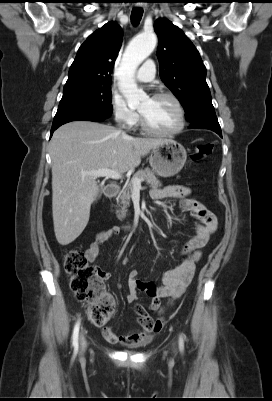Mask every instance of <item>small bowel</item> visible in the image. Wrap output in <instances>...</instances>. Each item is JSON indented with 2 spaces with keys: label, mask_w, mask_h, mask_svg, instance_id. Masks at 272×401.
<instances>
[{
  "label": "small bowel",
  "mask_w": 272,
  "mask_h": 401,
  "mask_svg": "<svg viewBox=\"0 0 272 401\" xmlns=\"http://www.w3.org/2000/svg\"><path fill=\"white\" fill-rule=\"evenodd\" d=\"M190 194V188L181 185H170L164 188H156L152 190L151 195L153 198H178L180 200L181 210L189 212L196 220L195 235L182 249V253L186 256L183 262L177 267L164 273L161 285L140 281L137 278V270H132L129 273L127 279L128 292L126 294V300L128 303H134L137 301L139 291H146L151 297V309L157 311L161 307V300L163 298L181 297L190 284L195 272L196 263L201 258L202 249L209 241L210 236L216 231L218 224L214 213L201 202L191 198ZM119 233L120 228L118 226H113L98 232L85 251L87 260L89 262H94L100 252L101 246ZM97 270L104 279L109 277V272L101 270L100 268H97ZM137 321L141 325V330L121 335L111 331H106L105 337L112 343L137 346L148 342L150 337L153 334L158 333L162 327V323L161 325L147 326L140 321L138 316Z\"/></svg>",
  "instance_id": "1"
}]
</instances>
